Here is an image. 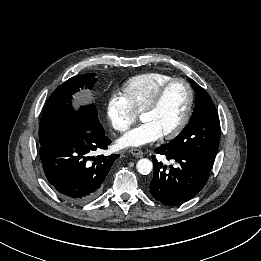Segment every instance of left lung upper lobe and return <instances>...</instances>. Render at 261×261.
Instances as JSON below:
<instances>
[{"label":"left lung upper lobe","mask_w":261,"mask_h":261,"mask_svg":"<svg viewBox=\"0 0 261 261\" xmlns=\"http://www.w3.org/2000/svg\"><path fill=\"white\" fill-rule=\"evenodd\" d=\"M189 82L196 93L193 115L181 133L165 146L183 149L213 164L220 140L219 117L208 93L194 80Z\"/></svg>","instance_id":"left-lung-upper-lobe-1"}]
</instances>
